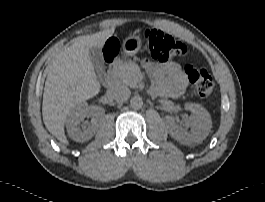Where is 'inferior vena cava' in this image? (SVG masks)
I'll use <instances>...</instances> for the list:
<instances>
[{"label":"inferior vena cava","instance_id":"inferior-vena-cava-1","mask_svg":"<svg viewBox=\"0 0 265 202\" xmlns=\"http://www.w3.org/2000/svg\"><path fill=\"white\" fill-rule=\"evenodd\" d=\"M108 94L115 102L124 103L129 99L131 91L126 86L115 84L109 88Z\"/></svg>","mask_w":265,"mask_h":202}]
</instances>
